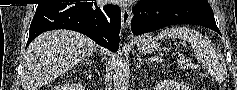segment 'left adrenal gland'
<instances>
[{
	"label": "left adrenal gland",
	"mask_w": 237,
	"mask_h": 90,
	"mask_svg": "<svg viewBox=\"0 0 237 90\" xmlns=\"http://www.w3.org/2000/svg\"><path fill=\"white\" fill-rule=\"evenodd\" d=\"M142 64H143V60H142L141 56H138L136 68H141Z\"/></svg>",
	"instance_id": "1"
}]
</instances>
